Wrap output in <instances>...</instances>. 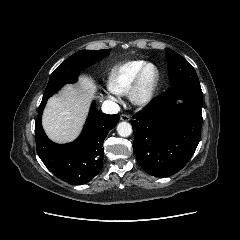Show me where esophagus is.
<instances>
[{"mask_svg": "<svg viewBox=\"0 0 240 240\" xmlns=\"http://www.w3.org/2000/svg\"><path fill=\"white\" fill-rule=\"evenodd\" d=\"M120 119L122 121H129L130 120V116L128 114H122Z\"/></svg>", "mask_w": 240, "mask_h": 240, "instance_id": "obj_1", "label": "esophagus"}]
</instances>
